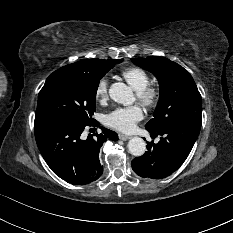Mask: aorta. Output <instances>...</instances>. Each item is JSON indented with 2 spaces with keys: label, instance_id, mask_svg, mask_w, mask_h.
<instances>
[{
  "label": "aorta",
  "instance_id": "obj_1",
  "mask_svg": "<svg viewBox=\"0 0 233 233\" xmlns=\"http://www.w3.org/2000/svg\"><path fill=\"white\" fill-rule=\"evenodd\" d=\"M109 95L112 100L125 106L133 104L135 100L132 89L121 82L111 85ZM128 149L133 156L140 157L146 151V143L140 137H133L128 142Z\"/></svg>",
  "mask_w": 233,
  "mask_h": 233
}]
</instances>
